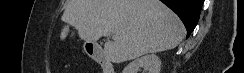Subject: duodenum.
I'll return each mask as SVG.
<instances>
[{
	"instance_id": "1",
	"label": "duodenum",
	"mask_w": 244,
	"mask_h": 73,
	"mask_svg": "<svg viewBox=\"0 0 244 73\" xmlns=\"http://www.w3.org/2000/svg\"><path fill=\"white\" fill-rule=\"evenodd\" d=\"M86 50L89 55L100 64L102 73H114L112 62L101 48L96 45L88 44Z\"/></svg>"
}]
</instances>
